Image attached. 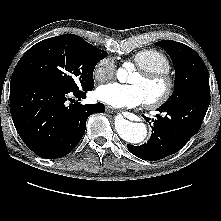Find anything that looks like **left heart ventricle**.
I'll return each mask as SVG.
<instances>
[{"label": "left heart ventricle", "instance_id": "left-heart-ventricle-1", "mask_svg": "<svg viewBox=\"0 0 221 221\" xmlns=\"http://www.w3.org/2000/svg\"><path fill=\"white\" fill-rule=\"evenodd\" d=\"M128 82L139 86L143 91L146 100L159 96L164 90L163 82L147 80L137 72L130 75Z\"/></svg>", "mask_w": 221, "mask_h": 221}]
</instances>
